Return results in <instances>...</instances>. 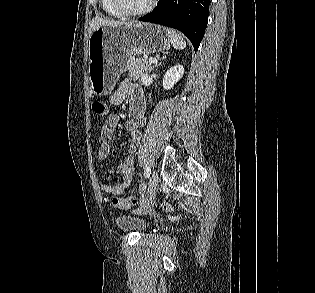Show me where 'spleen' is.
Here are the masks:
<instances>
[{"instance_id":"spleen-1","label":"spleen","mask_w":315,"mask_h":293,"mask_svg":"<svg viewBox=\"0 0 315 293\" xmlns=\"http://www.w3.org/2000/svg\"><path fill=\"white\" fill-rule=\"evenodd\" d=\"M170 42L175 49L182 50L186 47V42L184 38L175 30L167 29Z\"/></svg>"}]
</instances>
